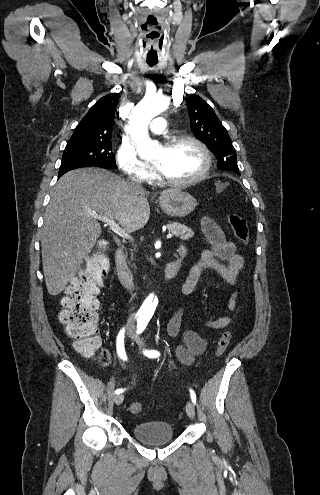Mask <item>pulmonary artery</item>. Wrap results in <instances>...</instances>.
I'll return each mask as SVG.
<instances>
[{
    "label": "pulmonary artery",
    "instance_id": "e3ab8cb5",
    "mask_svg": "<svg viewBox=\"0 0 320 495\" xmlns=\"http://www.w3.org/2000/svg\"><path fill=\"white\" fill-rule=\"evenodd\" d=\"M166 119L164 117H156L152 120L150 131L153 134H163L166 131Z\"/></svg>",
    "mask_w": 320,
    "mask_h": 495
}]
</instances>
